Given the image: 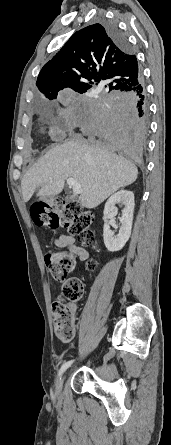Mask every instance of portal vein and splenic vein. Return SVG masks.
Here are the masks:
<instances>
[{
    "label": "portal vein and splenic vein",
    "mask_w": 171,
    "mask_h": 445,
    "mask_svg": "<svg viewBox=\"0 0 171 445\" xmlns=\"http://www.w3.org/2000/svg\"><path fill=\"white\" fill-rule=\"evenodd\" d=\"M67 184L72 188L74 194H81L82 189L80 184L74 178H68Z\"/></svg>",
    "instance_id": "obj_1"
}]
</instances>
